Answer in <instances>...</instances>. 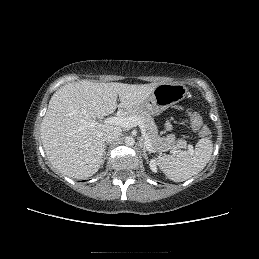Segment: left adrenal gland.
I'll list each match as a JSON object with an SVG mask.
<instances>
[{
  "mask_svg": "<svg viewBox=\"0 0 259 259\" xmlns=\"http://www.w3.org/2000/svg\"><path fill=\"white\" fill-rule=\"evenodd\" d=\"M141 148H142V151H143V155H144L145 159L147 160V153L146 152L148 151V149L146 148V146L143 142L141 143Z\"/></svg>",
  "mask_w": 259,
  "mask_h": 259,
  "instance_id": "a2214340",
  "label": "left adrenal gland"
}]
</instances>
